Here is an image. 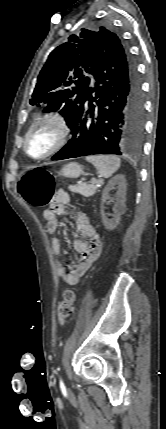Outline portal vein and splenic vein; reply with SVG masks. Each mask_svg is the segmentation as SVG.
<instances>
[{"instance_id": "portal-vein-and-splenic-vein-1", "label": "portal vein and splenic vein", "mask_w": 166, "mask_h": 429, "mask_svg": "<svg viewBox=\"0 0 166 429\" xmlns=\"http://www.w3.org/2000/svg\"><path fill=\"white\" fill-rule=\"evenodd\" d=\"M91 183H92V184H98V181H97L96 179H94V178H93V179L91 180Z\"/></svg>"}]
</instances>
